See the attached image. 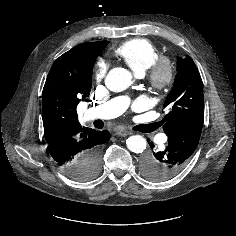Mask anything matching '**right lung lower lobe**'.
Listing matches in <instances>:
<instances>
[{"label": "right lung lower lobe", "mask_w": 236, "mask_h": 236, "mask_svg": "<svg viewBox=\"0 0 236 236\" xmlns=\"http://www.w3.org/2000/svg\"><path fill=\"white\" fill-rule=\"evenodd\" d=\"M110 139V133L88 131L82 138H71L48 144V152L56 163L73 179L81 175L82 165L90 153L99 155L101 146Z\"/></svg>", "instance_id": "obj_1"}]
</instances>
